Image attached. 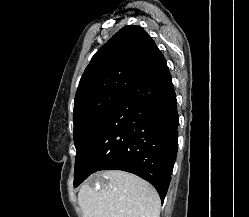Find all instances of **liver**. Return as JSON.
Masks as SVG:
<instances>
[{"label": "liver", "mask_w": 249, "mask_h": 217, "mask_svg": "<svg viewBox=\"0 0 249 217\" xmlns=\"http://www.w3.org/2000/svg\"><path fill=\"white\" fill-rule=\"evenodd\" d=\"M99 178L108 182L102 186ZM78 193L83 217H159L160 198L145 180L124 171L108 170L91 178Z\"/></svg>", "instance_id": "obj_1"}]
</instances>
